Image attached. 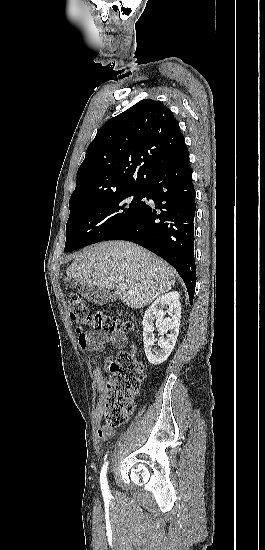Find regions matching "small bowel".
<instances>
[{"label": "small bowel", "instance_id": "obj_1", "mask_svg": "<svg viewBox=\"0 0 265 550\" xmlns=\"http://www.w3.org/2000/svg\"><path fill=\"white\" fill-rule=\"evenodd\" d=\"M78 334V344L79 346L88 351H102L106 345H108L110 348H122L124 347L128 342V337L123 333H116V334H108L103 332H84L81 329H77ZM111 356L109 355L108 358ZM93 376L100 387L102 389L103 385V371L102 368L99 366H96L93 368ZM102 408L98 407L96 410L95 415V423L98 427L97 429V435L100 439L107 440L110 438L112 431L102 426Z\"/></svg>", "mask_w": 265, "mask_h": 550}]
</instances>
